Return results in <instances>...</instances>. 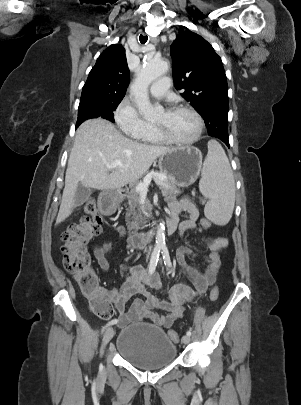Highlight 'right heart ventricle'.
I'll use <instances>...</instances> for the list:
<instances>
[{
	"mask_svg": "<svg viewBox=\"0 0 301 405\" xmlns=\"http://www.w3.org/2000/svg\"><path fill=\"white\" fill-rule=\"evenodd\" d=\"M134 137L142 142L151 144H161L164 140L155 132L153 125L148 124L145 129L134 135Z\"/></svg>",
	"mask_w": 301,
	"mask_h": 405,
	"instance_id": "right-heart-ventricle-1",
	"label": "right heart ventricle"
}]
</instances>
